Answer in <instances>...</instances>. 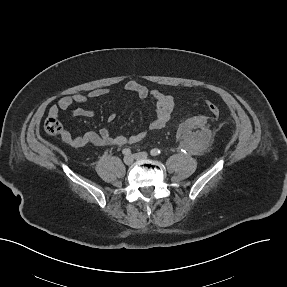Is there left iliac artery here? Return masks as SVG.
I'll return each instance as SVG.
<instances>
[{"label": "left iliac artery", "instance_id": "44dca946", "mask_svg": "<svg viewBox=\"0 0 287 287\" xmlns=\"http://www.w3.org/2000/svg\"><path fill=\"white\" fill-rule=\"evenodd\" d=\"M160 153H161V150L158 149V148H154V149H152V150L150 151V155H151V156H157V155H159Z\"/></svg>", "mask_w": 287, "mask_h": 287}]
</instances>
